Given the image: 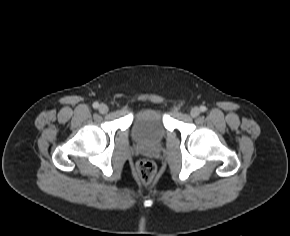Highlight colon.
I'll return each mask as SVG.
<instances>
[{"label":"colon","mask_w":290,"mask_h":236,"mask_svg":"<svg viewBox=\"0 0 290 236\" xmlns=\"http://www.w3.org/2000/svg\"><path fill=\"white\" fill-rule=\"evenodd\" d=\"M156 173V165L153 161L142 159L137 162L135 174L142 183H149Z\"/></svg>","instance_id":"obj_1"}]
</instances>
